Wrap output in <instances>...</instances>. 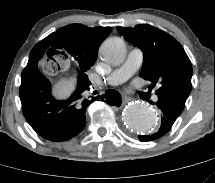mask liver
<instances>
[{"label": "liver", "instance_id": "6515ba94", "mask_svg": "<svg viewBox=\"0 0 215 183\" xmlns=\"http://www.w3.org/2000/svg\"><path fill=\"white\" fill-rule=\"evenodd\" d=\"M74 88V80L71 78H62L55 86L54 93L59 98H67Z\"/></svg>", "mask_w": 215, "mask_h": 183}]
</instances>
